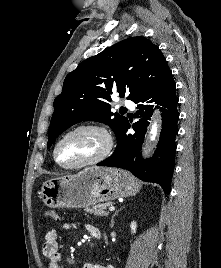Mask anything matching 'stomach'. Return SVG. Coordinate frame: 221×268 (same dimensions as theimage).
Instances as JSON below:
<instances>
[{
  "label": "stomach",
  "instance_id": "stomach-1",
  "mask_svg": "<svg viewBox=\"0 0 221 268\" xmlns=\"http://www.w3.org/2000/svg\"><path fill=\"white\" fill-rule=\"evenodd\" d=\"M140 188V183L126 171L88 167L75 175L46 181L40 196L50 208H84L133 196Z\"/></svg>",
  "mask_w": 221,
  "mask_h": 268
}]
</instances>
